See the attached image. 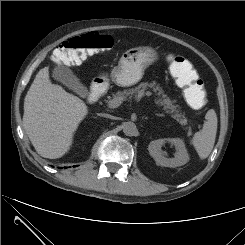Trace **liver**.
Segmentation results:
<instances>
[{
  "instance_id": "1",
  "label": "liver",
  "mask_w": 245,
  "mask_h": 245,
  "mask_svg": "<svg viewBox=\"0 0 245 245\" xmlns=\"http://www.w3.org/2000/svg\"><path fill=\"white\" fill-rule=\"evenodd\" d=\"M87 113L80 98L52 84L49 67H44L25 96L23 126L38 154L56 159L68 152Z\"/></svg>"
}]
</instances>
